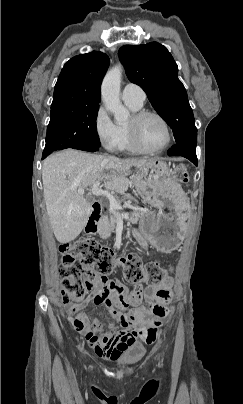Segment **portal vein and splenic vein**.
I'll return each instance as SVG.
<instances>
[{
  "label": "portal vein and splenic vein",
  "instance_id": "1",
  "mask_svg": "<svg viewBox=\"0 0 243 404\" xmlns=\"http://www.w3.org/2000/svg\"><path fill=\"white\" fill-rule=\"evenodd\" d=\"M78 194H84L83 190H79ZM91 194H94V196H106V198L109 200L110 210L113 212L114 216L124 218L125 216L131 215L130 211L121 208L120 204H118L117 200H115L112 194H109L107 190H102V188H99V182H95V184H93Z\"/></svg>",
  "mask_w": 243,
  "mask_h": 404
}]
</instances>
